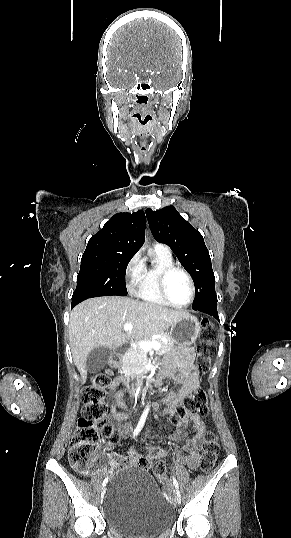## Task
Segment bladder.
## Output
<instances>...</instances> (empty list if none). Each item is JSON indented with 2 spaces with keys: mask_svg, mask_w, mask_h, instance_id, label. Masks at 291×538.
Here are the masks:
<instances>
[{
  "mask_svg": "<svg viewBox=\"0 0 291 538\" xmlns=\"http://www.w3.org/2000/svg\"><path fill=\"white\" fill-rule=\"evenodd\" d=\"M107 525L129 536H154L169 528L175 512L148 473L125 467L111 475L102 499Z\"/></svg>",
  "mask_w": 291,
  "mask_h": 538,
  "instance_id": "bladder-1",
  "label": "bladder"
}]
</instances>
